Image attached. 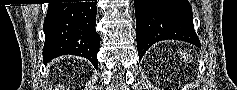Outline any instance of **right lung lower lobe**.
Returning <instances> with one entry per match:
<instances>
[{"label": "right lung lower lobe", "instance_id": "right-lung-lower-lobe-1", "mask_svg": "<svg viewBox=\"0 0 237 90\" xmlns=\"http://www.w3.org/2000/svg\"><path fill=\"white\" fill-rule=\"evenodd\" d=\"M96 2L49 4L43 30V62L61 55L87 58L97 69L100 36L95 30Z\"/></svg>", "mask_w": 237, "mask_h": 90}]
</instances>
